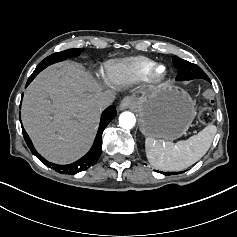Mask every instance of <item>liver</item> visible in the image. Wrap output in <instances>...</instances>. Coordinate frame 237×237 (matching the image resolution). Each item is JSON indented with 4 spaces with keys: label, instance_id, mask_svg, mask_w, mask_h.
<instances>
[{
    "label": "liver",
    "instance_id": "obj_1",
    "mask_svg": "<svg viewBox=\"0 0 237 237\" xmlns=\"http://www.w3.org/2000/svg\"><path fill=\"white\" fill-rule=\"evenodd\" d=\"M101 92L102 85L77 63H57L37 75L24 93L21 119L44 158L69 164L87 152L102 110Z\"/></svg>",
    "mask_w": 237,
    "mask_h": 237
}]
</instances>
